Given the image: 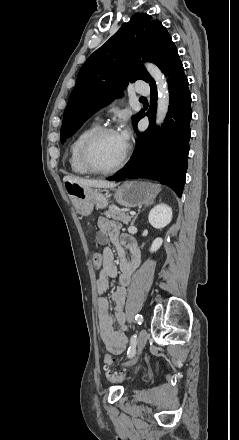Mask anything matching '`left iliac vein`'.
<instances>
[{"instance_id": "obj_1", "label": "left iliac vein", "mask_w": 239, "mask_h": 440, "mask_svg": "<svg viewBox=\"0 0 239 440\" xmlns=\"http://www.w3.org/2000/svg\"><path fill=\"white\" fill-rule=\"evenodd\" d=\"M148 339V333L145 329H142L138 335V339H137V346H138V354L141 353V351L143 350V348L146 345ZM137 360V358L134 359V362Z\"/></svg>"}]
</instances>
